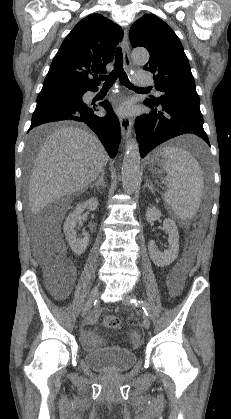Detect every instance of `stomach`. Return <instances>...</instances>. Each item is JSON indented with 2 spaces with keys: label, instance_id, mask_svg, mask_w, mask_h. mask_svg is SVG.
I'll return each mask as SVG.
<instances>
[{
  "label": "stomach",
  "instance_id": "1",
  "mask_svg": "<svg viewBox=\"0 0 231 419\" xmlns=\"http://www.w3.org/2000/svg\"><path fill=\"white\" fill-rule=\"evenodd\" d=\"M155 161H156L155 156H150V157L148 158V163H149L150 165L154 164V163H155Z\"/></svg>",
  "mask_w": 231,
  "mask_h": 419
}]
</instances>
